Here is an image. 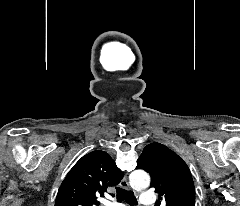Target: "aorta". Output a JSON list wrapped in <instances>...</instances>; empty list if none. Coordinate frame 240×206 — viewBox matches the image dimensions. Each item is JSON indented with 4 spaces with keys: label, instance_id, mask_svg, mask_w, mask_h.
<instances>
[{
    "label": "aorta",
    "instance_id": "aorta-1",
    "mask_svg": "<svg viewBox=\"0 0 240 206\" xmlns=\"http://www.w3.org/2000/svg\"><path fill=\"white\" fill-rule=\"evenodd\" d=\"M129 181L132 188L140 190L149 186L150 177L146 172L136 170L130 174Z\"/></svg>",
    "mask_w": 240,
    "mask_h": 206
}]
</instances>
